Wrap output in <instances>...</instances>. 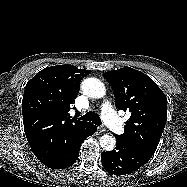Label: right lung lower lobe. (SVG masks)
Listing matches in <instances>:
<instances>
[{
  "label": "right lung lower lobe",
  "instance_id": "98d812e1",
  "mask_svg": "<svg viewBox=\"0 0 187 187\" xmlns=\"http://www.w3.org/2000/svg\"><path fill=\"white\" fill-rule=\"evenodd\" d=\"M96 130L97 127L94 126L92 129L87 130L85 133L74 136V138L70 140V144L65 156H62L61 158L46 164V166L52 169H64L73 165L78 158L81 143L88 136L93 135Z\"/></svg>",
  "mask_w": 187,
  "mask_h": 187
}]
</instances>
